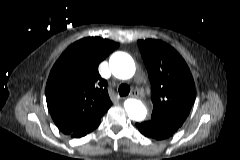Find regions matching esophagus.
Wrapping results in <instances>:
<instances>
[{
  "mask_svg": "<svg viewBox=\"0 0 240 160\" xmlns=\"http://www.w3.org/2000/svg\"><path fill=\"white\" fill-rule=\"evenodd\" d=\"M130 97L132 98H139V91L138 90H134L131 94Z\"/></svg>",
  "mask_w": 240,
  "mask_h": 160,
  "instance_id": "esophagus-1",
  "label": "esophagus"
}]
</instances>
